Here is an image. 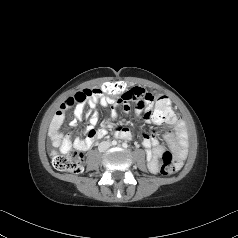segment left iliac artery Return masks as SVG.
I'll use <instances>...</instances> for the list:
<instances>
[{"mask_svg": "<svg viewBox=\"0 0 238 238\" xmlns=\"http://www.w3.org/2000/svg\"><path fill=\"white\" fill-rule=\"evenodd\" d=\"M122 146H123L124 148H127V147H128V144H127V143H123Z\"/></svg>", "mask_w": 238, "mask_h": 238, "instance_id": "1", "label": "left iliac artery"}]
</instances>
